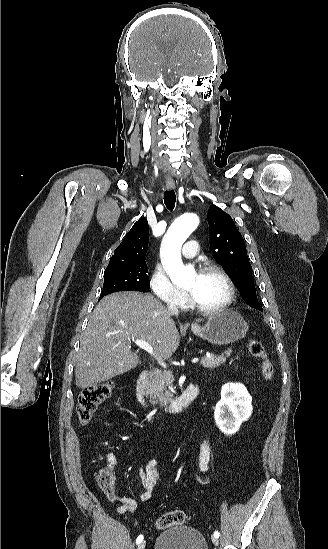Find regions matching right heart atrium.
<instances>
[{"mask_svg": "<svg viewBox=\"0 0 328 549\" xmlns=\"http://www.w3.org/2000/svg\"><path fill=\"white\" fill-rule=\"evenodd\" d=\"M149 287L156 297L155 303H184L185 294L172 282L168 272L155 261L149 273Z\"/></svg>", "mask_w": 328, "mask_h": 549, "instance_id": "d8ad5b80", "label": "right heart atrium"}]
</instances>
